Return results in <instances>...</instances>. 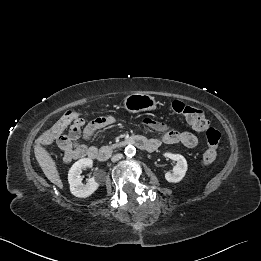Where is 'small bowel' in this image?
I'll list each match as a JSON object with an SVG mask.
<instances>
[{
    "label": "small bowel",
    "mask_w": 261,
    "mask_h": 261,
    "mask_svg": "<svg viewBox=\"0 0 261 261\" xmlns=\"http://www.w3.org/2000/svg\"><path fill=\"white\" fill-rule=\"evenodd\" d=\"M116 122V119L113 116H104L97 118L96 120L89 123L83 131V138L86 140L91 139L95 133L109 125H112ZM144 124L157 132H161L162 135L160 138H152L151 141L157 144V147L161 144L173 145L180 144L187 149H193L198 144V138L190 132H179L174 129H171L164 123L152 121L150 119H145ZM75 139L66 142L64 144H60V147L64 150V160L66 162H70L74 159L83 158L88 156L89 152L96 151L97 148L94 146H88L85 144H78L74 141Z\"/></svg>",
    "instance_id": "obj_1"
}]
</instances>
